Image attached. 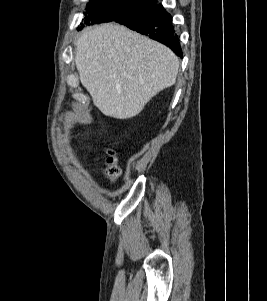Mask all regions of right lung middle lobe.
Returning a JSON list of instances; mask_svg holds the SVG:
<instances>
[{"instance_id":"1","label":"right lung middle lobe","mask_w":267,"mask_h":301,"mask_svg":"<svg viewBox=\"0 0 267 301\" xmlns=\"http://www.w3.org/2000/svg\"><path fill=\"white\" fill-rule=\"evenodd\" d=\"M147 0H90L82 27L85 24L115 21L127 14H133L151 6ZM81 27V28H82Z\"/></svg>"}]
</instances>
